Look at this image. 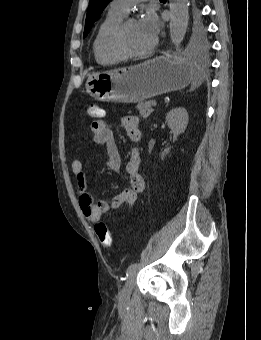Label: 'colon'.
<instances>
[{"label":"colon","mask_w":261,"mask_h":340,"mask_svg":"<svg viewBox=\"0 0 261 340\" xmlns=\"http://www.w3.org/2000/svg\"><path fill=\"white\" fill-rule=\"evenodd\" d=\"M85 114L90 118H98L104 115V111L95 104H89L85 109ZM94 229L100 243L104 247H110L112 245L113 238L107 226L104 223H97Z\"/></svg>","instance_id":"1"}]
</instances>
